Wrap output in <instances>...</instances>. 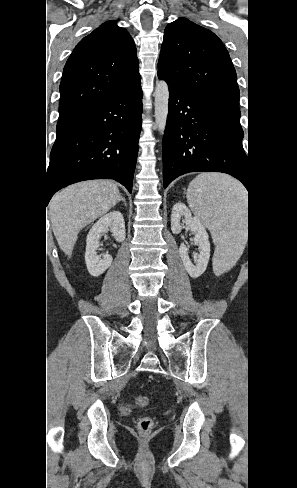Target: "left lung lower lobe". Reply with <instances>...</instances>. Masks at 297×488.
<instances>
[{"instance_id":"0a47b994","label":"left lung lower lobe","mask_w":297,"mask_h":488,"mask_svg":"<svg viewBox=\"0 0 297 488\" xmlns=\"http://www.w3.org/2000/svg\"><path fill=\"white\" fill-rule=\"evenodd\" d=\"M169 93L163 137L164 187L189 172L214 171L232 175L250 192L248 158L242 147L244 133L240 123L178 88L169 85Z\"/></svg>"}]
</instances>
